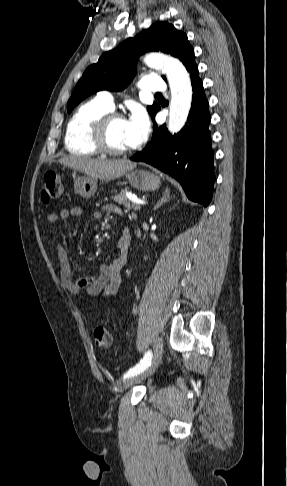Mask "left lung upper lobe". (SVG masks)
I'll use <instances>...</instances> for the list:
<instances>
[{
  "mask_svg": "<svg viewBox=\"0 0 287 486\" xmlns=\"http://www.w3.org/2000/svg\"><path fill=\"white\" fill-rule=\"evenodd\" d=\"M149 51L171 54L184 65L194 57V50L184 32L178 31L166 21L156 22L115 49L105 52L97 63L85 70L68 101V113L95 92L121 91L126 88L135 75L138 57ZM163 78L166 80L164 76ZM147 110L153 119L160 106L154 103Z\"/></svg>",
  "mask_w": 287,
  "mask_h": 486,
  "instance_id": "5c2ea615",
  "label": "left lung upper lobe"
}]
</instances>
